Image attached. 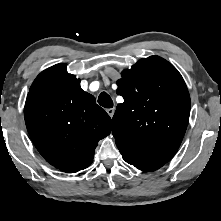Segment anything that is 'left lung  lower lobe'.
Returning <instances> with one entry per match:
<instances>
[{
    "label": "left lung lower lobe",
    "mask_w": 221,
    "mask_h": 221,
    "mask_svg": "<svg viewBox=\"0 0 221 221\" xmlns=\"http://www.w3.org/2000/svg\"><path fill=\"white\" fill-rule=\"evenodd\" d=\"M118 149L124 160L139 170L155 171L164 165V163L143 159L124 147H118Z\"/></svg>",
    "instance_id": "left-lung-lower-lobe-1"
}]
</instances>
